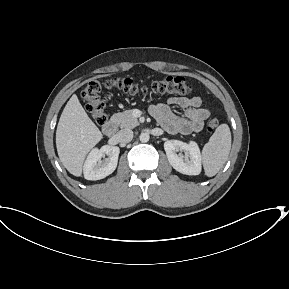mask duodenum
Returning <instances> with one entry per match:
<instances>
[{
  "instance_id": "410a0bca",
  "label": "duodenum",
  "mask_w": 289,
  "mask_h": 289,
  "mask_svg": "<svg viewBox=\"0 0 289 289\" xmlns=\"http://www.w3.org/2000/svg\"><path fill=\"white\" fill-rule=\"evenodd\" d=\"M104 134L108 138H112L115 135L116 132V124L113 121H109L104 125Z\"/></svg>"
}]
</instances>
